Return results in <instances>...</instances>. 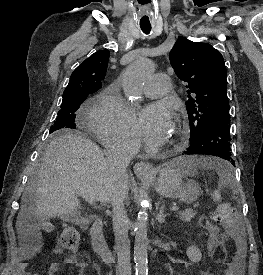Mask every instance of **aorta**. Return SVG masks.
I'll use <instances>...</instances> for the list:
<instances>
[{
	"label": "aorta",
	"instance_id": "aorta-1",
	"mask_svg": "<svg viewBox=\"0 0 263 275\" xmlns=\"http://www.w3.org/2000/svg\"><path fill=\"white\" fill-rule=\"evenodd\" d=\"M154 70V63L147 58H141L131 63L123 72L122 86L125 96L130 100L139 99L142 95L146 79ZM148 211L142 207L138 212L135 227L134 262L136 275L148 273Z\"/></svg>",
	"mask_w": 263,
	"mask_h": 275
}]
</instances>
